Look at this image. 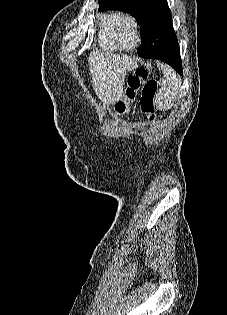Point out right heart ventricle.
Wrapping results in <instances>:
<instances>
[{
	"label": "right heart ventricle",
	"instance_id": "right-heart-ventricle-1",
	"mask_svg": "<svg viewBox=\"0 0 227 315\" xmlns=\"http://www.w3.org/2000/svg\"><path fill=\"white\" fill-rule=\"evenodd\" d=\"M120 15V12L115 10L104 11L98 15L99 43L106 50L119 49L114 36V25Z\"/></svg>",
	"mask_w": 227,
	"mask_h": 315
}]
</instances>
